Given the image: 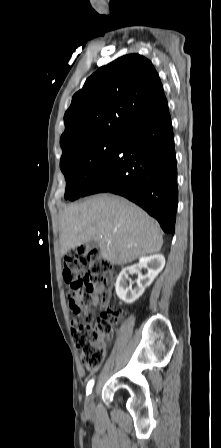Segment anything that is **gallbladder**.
Returning <instances> with one entry per match:
<instances>
[{
  "mask_svg": "<svg viewBox=\"0 0 221 448\" xmlns=\"http://www.w3.org/2000/svg\"><path fill=\"white\" fill-rule=\"evenodd\" d=\"M96 246L97 245L94 241H89L88 243L85 244L86 251H89V250L95 248Z\"/></svg>",
  "mask_w": 221,
  "mask_h": 448,
  "instance_id": "1",
  "label": "gallbladder"
}]
</instances>
